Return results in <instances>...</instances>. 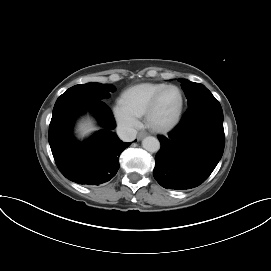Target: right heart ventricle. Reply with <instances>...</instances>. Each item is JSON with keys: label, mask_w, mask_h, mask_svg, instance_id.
<instances>
[{"label": "right heart ventricle", "mask_w": 271, "mask_h": 271, "mask_svg": "<svg viewBox=\"0 0 271 271\" xmlns=\"http://www.w3.org/2000/svg\"><path fill=\"white\" fill-rule=\"evenodd\" d=\"M164 86L162 83L134 85L121 94L120 103L136 117H143L152 98Z\"/></svg>", "instance_id": "right-heart-ventricle-1"}]
</instances>
